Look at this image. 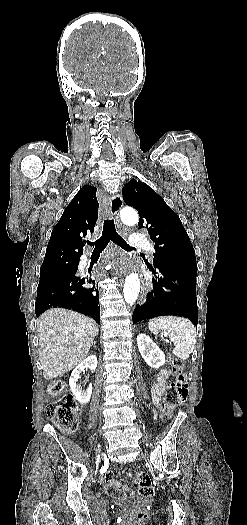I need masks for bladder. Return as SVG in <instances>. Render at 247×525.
<instances>
[{
	"instance_id": "bladder-1",
	"label": "bladder",
	"mask_w": 247,
	"mask_h": 525,
	"mask_svg": "<svg viewBox=\"0 0 247 525\" xmlns=\"http://www.w3.org/2000/svg\"><path fill=\"white\" fill-rule=\"evenodd\" d=\"M115 504L118 507H121L122 510H124V511H126L129 507H131V508L141 507V503L132 502V500H129L127 498L117 499Z\"/></svg>"
}]
</instances>
